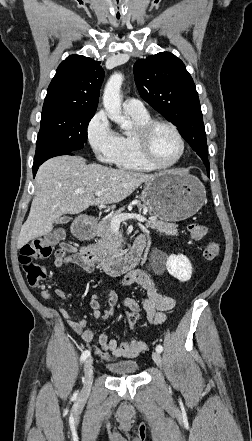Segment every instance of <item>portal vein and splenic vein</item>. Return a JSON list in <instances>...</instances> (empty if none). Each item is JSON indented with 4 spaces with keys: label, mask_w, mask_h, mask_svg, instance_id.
<instances>
[{
    "label": "portal vein and splenic vein",
    "mask_w": 252,
    "mask_h": 441,
    "mask_svg": "<svg viewBox=\"0 0 252 441\" xmlns=\"http://www.w3.org/2000/svg\"><path fill=\"white\" fill-rule=\"evenodd\" d=\"M103 190H99L95 192L96 196H101L103 194ZM130 219H134L137 220L139 222H145L146 218L137 214H129V213H125V214H120V215H116L112 218L111 220V225L113 227H117L120 226V223L122 221H126V220H130ZM154 219V218H153Z\"/></svg>",
    "instance_id": "portal-vein-and-splenic-vein-1"
}]
</instances>
